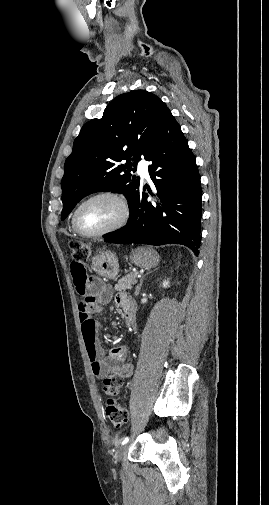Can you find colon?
I'll use <instances>...</instances> for the list:
<instances>
[{"label": "colon", "mask_w": 269, "mask_h": 505, "mask_svg": "<svg viewBox=\"0 0 269 505\" xmlns=\"http://www.w3.org/2000/svg\"><path fill=\"white\" fill-rule=\"evenodd\" d=\"M91 253V248L86 245L74 244L72 247L73 260L81 259L84 263L90 257ZM93 298L96 297L93 295ZM122 383L123 380L116 375H111L104 379V391L109 396L106 401L105 411L109 421L116 428H121L128 422L127 410L113 398V396L117 394L118 389L121 387Z\"/></svg>", "instance_id": "1"}]
</instances>
